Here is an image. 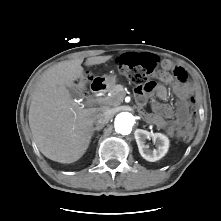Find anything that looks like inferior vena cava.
Wrapping results in <instances>:
<instances>
[{"label": "inferior vena cava", "mask_w": 221, "mask_h": 221, "mask_svg": "<svg viewBox=\"0 0 221 221\" xmlns=\"http://www.w3.org/2000/svg\"><path fill=\"white\" fill-rule=\"evenodd\" d=\"M111 118L110 113L107 110H100L97 114L94 115L93 121L97 127H103L109 122Z\"/></svg>", "instance_id": "602c4592"}]
</instances>
